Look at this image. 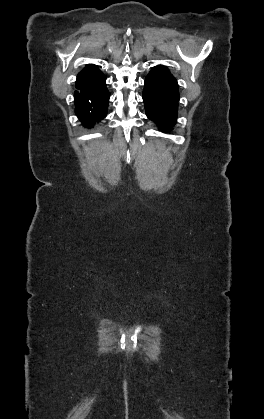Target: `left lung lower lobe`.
Here are the masks:
<instances>
[{"label":"left lung lower lobe","mask_w":264,"mask_h":419,"mask_svg":"<svg viewBox=\"0 0 264 419\" xmlns=\"http://www.w3.org/2000/svg\"><path fill=\"white\" fill-rule=\"evenodd\" d=\"M143 101L147 117L170 130L177 118L179 93L176 79L163 66L154 67L146 77Z\"/></svg>","instance_id":"1"}]
</instances>
